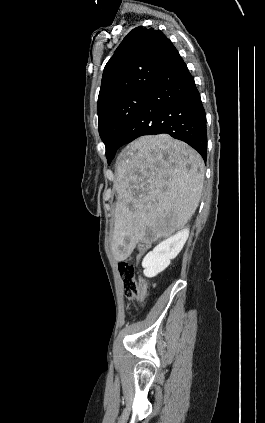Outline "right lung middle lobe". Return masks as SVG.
I'll use <instances>...</instances> for the list:
<instances>
[{
    "instance_id": "obj_1",
    "label": "right lung middle lobe",
    "mask_w": 265,
    "mask_h": 423,
    "mask_svg": "<svg viewBox=\"0 0 265 423\" xmlns=\"http://www.w3.org/2000/svg\"><path fill=\"white\" fill-rule=\"evenodd\" d=\"M150 90L145 89L130 93L111 104L98 115L99 134L106 146L108 164H110L118 149L119 136L145 102Z\"/></svg>"
}]
</instances>
